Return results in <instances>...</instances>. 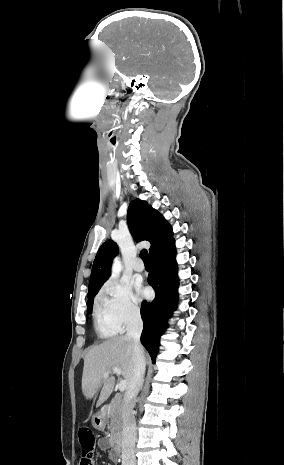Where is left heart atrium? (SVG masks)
I'll return each instance as SVG.
<instances>
[{
  "mask_svg": "<svg viewBox=\"0 0 284 465\" xmlns=\"http://www.w3.org/2000/svg\"><path fill=\"white\" fill-rule=\"evenodd\" d=\"M147 296H148V291L146 289H143L139 286L136 287L135 299L137 301H140L143 298H146Z\"/></svg>",
  "mask_w": 284,
  "mask_h": 465,
  "instance_id": "obj_1",
  "label": "left heart atrium"
}]
</instances>
